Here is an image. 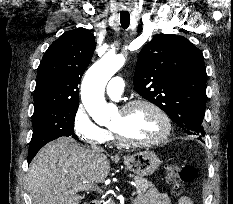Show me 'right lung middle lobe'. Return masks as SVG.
Returning a JSON list of instances; mask_svg holds the SVG:
<instances>
[{"mask_svg":"<svg viewBox=\"0 0 233 204\" xmlns=\"http://www.w3.org/2000/svg\"><path fill=\"white\" fill-rule=\"evenodd\" d=\"M77 110L78 105L76 104L34 111L30 148H41L49 141L61 136H71L78 140L74 134V120Z\"/></svg>","mask_w":233,"mask_h":204,"instance_id":"obj_1","label":"right lung middle lobe"}]
</instances>
